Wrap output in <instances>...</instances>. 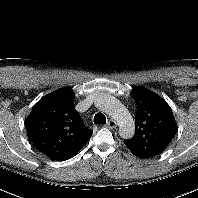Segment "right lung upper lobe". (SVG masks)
Returning <instances> with one entry per match:
<instances>
[{
	"label": "right lung upper lobe",
	"instance_id": "obj_1",
	"mask_svg": "<svg viewBox=\"0 0 198 198\" xmlns=\"http://www.w3.org/2000/svg\"><path fill=\"white\" fill-rule=\"evenodd\" d=\"M74 98L69 88L51 92L33 106L25 120L29 139L51 159L78 153L93 134L76 111Z\"/></svg>",
	"mask_w": 198,
	"mask_h": 198
}]
</instances>
